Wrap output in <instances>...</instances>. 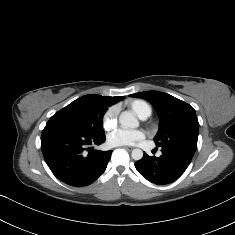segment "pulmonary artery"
<instances>
[{
    "label": "pulmonary artery",
    "instance_id": "1",
    "mask_svg": "<svg viewBox=\"0 0 235 235\" xmlns=\"http://www.w3.org/2000/svg\"><path fill=\"white\" fill-rule=\"evenodd\" d=\"M149 115H150V112H149V111H146V112H144V113L140 116V118H141V119H146V118L149 117Z\"/></svg>",
    "mask_w": 235,
    "mask_h": 235
}]
</instances>
